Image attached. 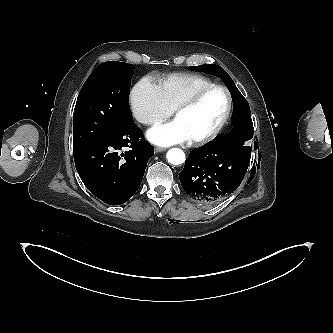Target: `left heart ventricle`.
<instances>
[{"label":"left heart ventricle","instance_id":"left-heart-ventricle-1","mask_svg":"<svg viewBox=\"0 0 333 333\" xmlns=\"http://www.w3.org/2000/svg\"><path fill=\"white\" fill-rule=\"evenodd\" d=\"M226 108L225 92L216 89L207 93L196 106L180 113L175 120L189 140H193L211 132L223 118Z\"/></svg>","mask_w":333,"mask_h":333}]
</instances>
